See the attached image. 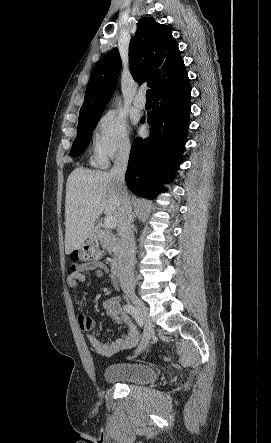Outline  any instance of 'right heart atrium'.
Instances as JSON below:
<instances>
[{"label": "right heart atrium", "mask_w": 271, "mask_h": 443, "mask_svg": "<svg viewBox=\"0 0 271 443\" xmlns=\"http://www.w3.org/2000/svg\"><path fill=\"white\" fill-rule=\"evenodd\" d=\"M131 129L125 118L116 111L103 113L96 121L90 149L94 162L104 165L108 161L130 152Z\"/></svg>", "instance_id": "1"}]
</instances>
